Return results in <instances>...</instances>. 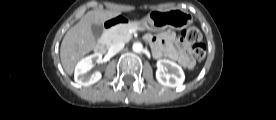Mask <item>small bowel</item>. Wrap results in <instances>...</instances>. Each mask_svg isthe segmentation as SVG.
Returning a JSON list of instances; mask_svg holds the SVG:
<instances>
[{
  "mask_svg": "<svg viewBox=\"0 0 276 120\" xmlns=\"http://www.w3.org/2000/svg\"><path fill=\"white\" fill-rule=\"evenodd\" d=\"M146 38L153 48L154 57L178 61L185 68L194 65L190 46L174 32L168 30L156 36L147 35Z\"/></svg>",
  "mask_w": 276,
  "mask_h": 120,
  "instance_id": "small-bowel-1",
  "label": "small bowel"
}]
</instances>
